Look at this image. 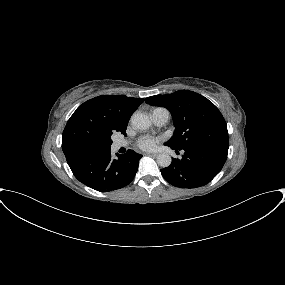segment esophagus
I'll return each mask as SVG.
<instances>
[{
	"mask_svg": "<svg viewBox=\"0 0 285 285\" xmlns=\"http://www.w3.org/2000/svg\"><path fill=\"white\" fill-rule=\"evenodd\" d=\"M148 156H151V157H156L157 156V153H147Z\"/></svg>",
	"mask_w": 285,
	"mask_h": 285,
	"instance_id": "obj_1",
	"label": "esophagus"
}]
</instances>
